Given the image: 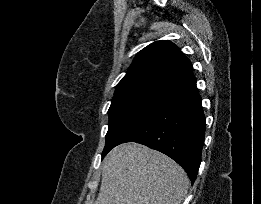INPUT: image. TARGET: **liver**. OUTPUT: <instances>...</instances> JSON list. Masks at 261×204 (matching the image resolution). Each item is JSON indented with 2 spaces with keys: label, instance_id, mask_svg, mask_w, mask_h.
<instances>
[{
  "label": "liver",
  "instance_id": "liver-1",
  "mask_svg": "<svg viewBox=\"0 0 261 204\" xmlns=\"http://www.w3.org/2000/svg\"><path fill=\"white\" fill-rule=\"evenodd\" d=\"M188 186L187 174L171 158L125 143L104 158L95 204H181Z\"/></svg>",
  "mask_w": 261,
  "mask_h": 204
}]
</instances>
